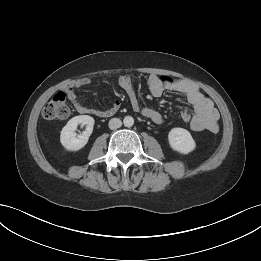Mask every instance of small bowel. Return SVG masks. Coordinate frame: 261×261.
Instances as JSON below:
<instances>
[{"mask_svg":"<svg viewBox=\"0 0 261 261\" xmlns=\"http://www.w3.org/2000/svg\"><path fill=\"white\" fill-rule=\"evenodd\" d=\"M88 78H82L69 85L65 92L68 99L72 102L75 109L81 114H93L100 117H107L114 114L120 107V102L115 101L113 105L106 109L100 110L82 105L75 94V88H80L89 84ZM119 86L127 93L132 109L140 112L144 117L149 118L153 122L160 124L163 122L162 115L150 107L141 108L134 91L131 78L123 75L118 79ZM148 87L150 93L154 97H160L164 91H174L183 94L189 104L194 108V114L191 116L188 111L182 114L190 115V127L193 131H210L216 133L218 131L219 113L214 107L212 100L204 95L193 83L185 80H177L169 77H161L158 75H150L148 78Z\"/></svg>","mask_w":261,"mask_h":261,"instance_id":"obj_1","label":"small bowel"}]
</instances>
